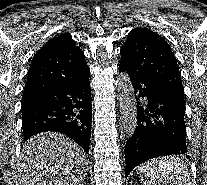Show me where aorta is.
Listing matches in <instances>:
<instances>
[{"label": "aorta", "instance_id": "1", "mask_svg": "<svg viewBox=\"0 0 207 185\" xmlns=\"http://www.w3.org/2000/svg\"><path fill=\"white\" fill-rule=\"evenodd\" d=\"M118 99L125 137L130 138L137 126V103L131 79L125 72L118 77Z\"/></svg>", "mask_w": 207, "mask_h": 185}]
</instances>
